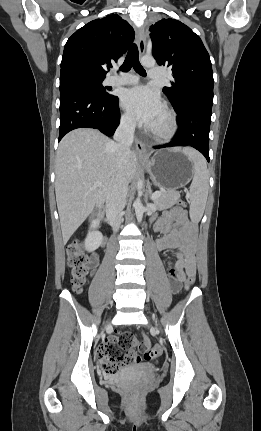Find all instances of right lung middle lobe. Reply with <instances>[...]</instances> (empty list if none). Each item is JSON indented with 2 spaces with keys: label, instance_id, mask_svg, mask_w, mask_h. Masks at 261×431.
Here are the masks:
<instances>
[{
  "label": "right lung middle lobe",
  "instance_id": "1",
  "mask_svg": "<svg viewBox=\"0 0 261 431\" xmlns=\"http://www.w3.org/2000/svg\"><path fill=\"white\" fill-rule=\"evenodd\" d=\"M105 77L96 76L86 71L73 70L60 75V86L79 85L87 86L101 97L110 96L106 88L103 87L102 81Z\"/></svg>",
  "mask_w": 261,
  "mask_h": 431
}]
</instances>
